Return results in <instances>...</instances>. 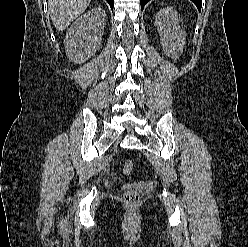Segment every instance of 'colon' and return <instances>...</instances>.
<instances>
[{"label": "colon", "mask_w": 248, "mask_h": 247, "mask_svg": "<svg viewBox=\"0 0 248 247\" xmlns=\"http://www.w3.org/2000/svg\"><path fill=\"white\" fill-rule=\"evenodd\" d=\"M133 171V164L131 161H124L121 165V172L124 175H130ZM123 202L130 207L136 206L140 201V196L135 190H127L123 194Z\"/></svg>", "instance_id": "obj_1"}]
</instances>
